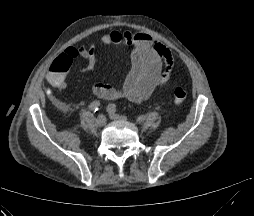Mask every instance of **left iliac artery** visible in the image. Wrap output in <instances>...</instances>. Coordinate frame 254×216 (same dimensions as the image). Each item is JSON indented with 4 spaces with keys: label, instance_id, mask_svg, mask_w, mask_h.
I'll return each mask as SVG.
<instances>
[{
    "label": "left iliac artery",
    "instance_id": "obj_1",
    "mask_svg": "<svg viewBox=\"0 0 254 216\" xmlns=\"http://www.w3.org/2000/svg\"><path fill=\"white\" fill-rule=\"evenodd\" d=\"M116 110H117V107H116V105L115 104H109L108 106H107V111L108 112H116Z\"/></svg>",
    "mask_w": 254,
    "mask_h": 216
}]
</instances>
